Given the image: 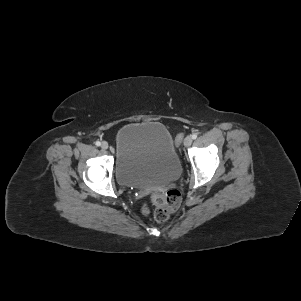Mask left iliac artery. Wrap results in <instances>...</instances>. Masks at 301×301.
I'll return each mask as SVG.
<instances>
[{
    "label": "left iliac artery",
    "mask_w": 301,
    "mask_h": 301,
    "mask_svg": "<svg viewBox=\"0 0 301 301\" xmlns=\"http://www.w3.org/2000/svg\"><path fill=\"white\" fill-rule=\"evenodd\" d=\"M192 138L196 139L197 138V134L196 133L192 134Z\"/></svg>",
    "instance_id": "obj_1"
}]
</instances>
